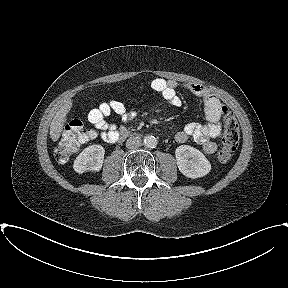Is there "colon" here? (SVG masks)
<instances>
[{
  "instance_id": "obj_1",
  "label": "colon",
  "mask_w": 288,
  "mask_h": 288,
  "mask_svg": "<svg viewBox=\"0 0 288 288\" xmlns=\"http://www.w3.org/2000/svg\"><path fill=\"white\" fill-rule=\"evenodd\" d=\"M225 130L222 138V148L217 154L218 163H226L239 145L240 130L236 118L226 111L224 113ZM94 132L87 129L80 120L70 121L64 128L61 138L55 148L59 161H67L78 149L80 144L92 139Z\"/></svg>"
}]
</instances>
